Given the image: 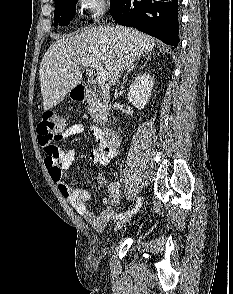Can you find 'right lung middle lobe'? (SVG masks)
Wrapping results in <instances>:
<instances>
[{"label": "right lung middle lobe", "instance_id": "right-lung-middle-lobe-1", "mask_svg": "<svg viewBox=\"0 0 233 294\" xmlns=\"http://www.w3.org/2000/svg\"><path fill=\"white\" fill-rule=\"evenodd\" d=\"M115 0H110V6ZM78 0H55L54 27L66 26L73 19Z\"/></svg>", "mask_w": 233, "mask_h": 294}]
</instances>
